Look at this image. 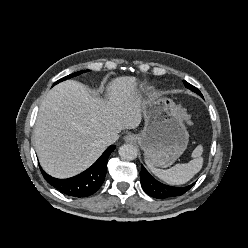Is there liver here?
<instances>
[{"label": "liver", "instance_id": "liver-1", "mask_svg": "<svg viewBox=\"0 0 248 248\" xmlns=\"http://www.w3.org/2000/svg\"><path fill=\"white\" fill-rule=\"evenodd\" d=\"M137 86L135 77L115 78L104 100L77 81L52 88L39 107L33 135L43 169L53 177H72L104 152L105 136L137 128L142 120Z\"/></svg>", "mask_w": 248, "mask_h": 248}]
</instances>
